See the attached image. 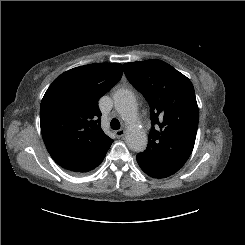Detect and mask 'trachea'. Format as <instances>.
<instances>
[{
  "instance_id": "1",
  "label": "trachea",
  "mask_w": 245,
  "mask_h": 245,
  "mask_svg": "<svg viewBox=\"0 0 245 245\" xmlns=\"http://www.w3.org/2000/svg\"><path fill=\"white\" fill-rule=\"evenodd\" d=\"M111 128L114 130H118L120 128V122L117 119H112L111 120Z\"/></svg>"
}]
</instances>
